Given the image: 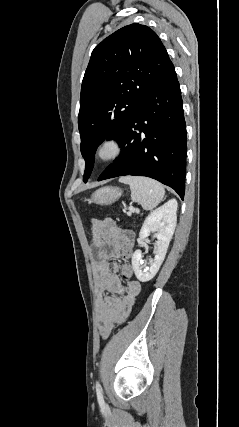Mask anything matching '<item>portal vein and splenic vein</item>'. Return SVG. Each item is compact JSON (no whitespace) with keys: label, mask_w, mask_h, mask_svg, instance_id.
Returning <instances> with one entry per match:
<instances>
[{"label":"portal vein and splenic vein","mask_w":239,"mask_h":427,"mask_svg":"<svg viewBox=\"0 0 239 427\" xmlns=\"http://www.w3.org/2000/svg\"><path fill=\"white\" fill-rule=\"evenodd\" d=\"M129 210L130 212L128 214H131V212H135L136 209L134 207H130Z\"/></svg>","instance_id":"obj_1"}]
</instances>
